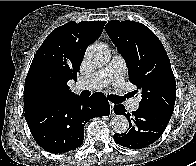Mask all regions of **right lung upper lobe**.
<instances>
[{"mask_svg": "<svg viewBox=\"0 0 196 166\" xmlns=\"http://www.w3.org/2000/svg\"><path fill=\"white\" fill-rule=\"evenodd\" d=\"M104 21L68 22L54 29L37 50L24 86L25 112L75 94L67 82L77 73L87 47L102 33Z\"/></svg>", "mask_w": 196, "mask_h": 166, "instance_id": "obj_1", "label": "right lung upper lobe"}]
</instances>
